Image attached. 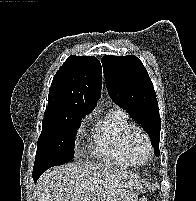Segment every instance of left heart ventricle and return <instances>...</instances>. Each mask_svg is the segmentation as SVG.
<instances>
[{"label":"left heart ventricle","instance_id":"1","mask_svg":"<svg viewBox=\"0 0 196 201\" xmlns=\"http://www.w3.org/2000/svg\"><path fill=\"white\" fill-rule=\"evenodd\" d=\"M134 156L139 163L144 162L147 158V147L142 139H137L134 144Z\"/></svg>","mask_w":196,"mask_h":201}]
</instances>
